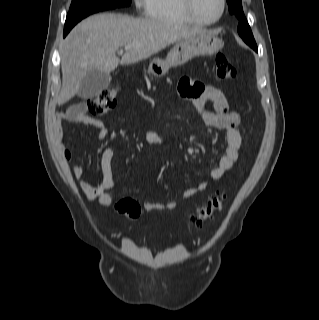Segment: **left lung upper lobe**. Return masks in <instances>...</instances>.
Masks as SVG:
<instances>
[{
	"mask_svg": "<svg viewBox=\"0 0 319 320\" xmlns=\"http://www.w3.org/2000/svg\"><path fill=\"white\" fill-rule=\"evenodd\" d=\"M229 6V12L235 15L239 20L238 33L242 39L254 50L257 49L256 42L254 40L251 28L244 16L241 0H227Z\"/></svg>",
	"mask_w": 319,
	"mask_h": 320,
	"instance_id": "left-lung-upper-lobe-1",
	"label": "left lung upper lobe"
}]
</instances>
